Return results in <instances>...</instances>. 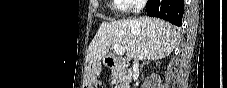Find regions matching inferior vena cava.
<instances>
[{"label":"inferior vena cava","instance_id":"inferior-vena-cava-1","mask_svg":"<svg viewBox=\"0 0 227 88\" xmlns=\"http://www.w3.org/2000/svg\"><path fill=\"white\" fill-rule=\"evenodd\" d=\"M144 7V3H139L138 5H136L135 7V12L136 13H139L140 10ZM139 64H138V60H135L134 61V64H133V74L136 75L139 73Z\"/></svg>","mask_w":227,"mask_h":88}]
</instances>
